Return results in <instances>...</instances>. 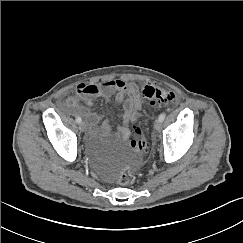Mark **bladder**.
I'll return each instance as SVG.
<instances>
[{"label": "bladder", "instance_id": "31cf9c89", "mask_svg": "<svg viewBox=\"0 0 243 243\" xmlns=\"http://www.w3.org/2000/svg\"><path fill=\"white\" fill-rule=\"evenodd\" d=\"M108 135L104 128L99 129L95 134L91 136V141L93 143H104L107 141ZM129 161H137L134 155L127 150L123 151L119 155V162L123 164V168L128 166L127 162Z\"/></svg>", "mask_w": 243, "mask_h": 243}]
</instances>
